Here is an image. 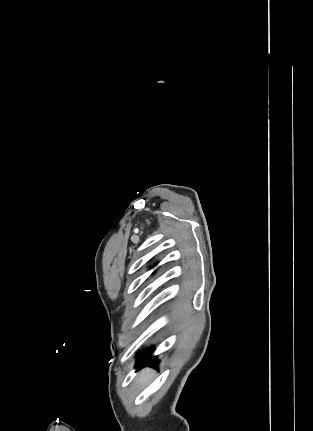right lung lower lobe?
<instances>
[{"instance_id":"1","label":"right lung lower lobe","mask_w":313,"mask_h":431,"mask_svg":"<svg viewBox=\"0 0 313 431\" xmlns=\"http://www.w3.org/2000/svg\"><path fill=\"white\" fill-rule=\"evenodd\" d=\"M153 351H154V349H149L140 355V357L138 358L137 363H136L137 369H140V368L147 366V365L157 368L156 357L151 356Z\"/></svg>"}]
</instances>
